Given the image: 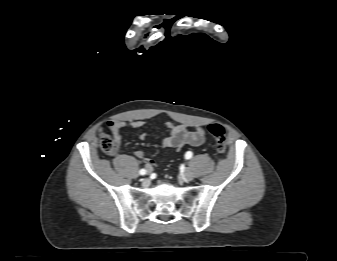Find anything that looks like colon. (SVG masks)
Listing matches in <instances>:
<instances>
[{
	"instance_id": "5ec220e1",
	"label": "colon",
	"mask_w": 337,
	"mask_h": 261,
	"mask_svg": "<svg viewBox=\"0 0 337 261\" xmlns=\"http://www.w3.org/2000/svg\"><path fill=\"white\" fill-rule=\"evenodd\" d=\"M209 133L215 138L216 151L218 156H223L226 152V136L225 130L220 124H210L207 127ZM99 144L103 152L110 154L115 151V142L107 134L99 135Z\"/></svg>"
}]
</instances>
